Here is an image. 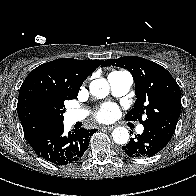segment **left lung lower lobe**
<instances>
[{
    "label": "left lung lower lobe",
    "mask_w": 196,
    "mask_h": 196,
    "mask_svg": "<svg viewBox=\"0 0 196 196\" xmlns=\"http://www.w3.org/2000/svg\"><path fill=\"white\" fill-rule=\"evenodd\" d=\"M170 141L152 126H144L141 135H135L122 147V153L133 158L151 157L161 151Z\"/></svg>",
    "instance_id": "1"
}]
</instances>
